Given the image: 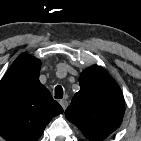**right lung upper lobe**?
I'll return each mask as SVG.
<instances>
[{
    "instance_id": "right-lung-upper-lobe-1",
    "label": "right lung upper lobe",
    "mask_w": 141,
    "mask_h": 141,
    "mask_svg": "<svg viewBox=\"0 0 141 141\" xmlns=\"http://www.w3.org/2000/svg\"><path fill=\"white\" fill-rule=\"evenodd\" d=\"M40 66V60L22 55L0 81V135L6 141H37L63 112L40 83Z\"/></svg>"
}]
</instances>
